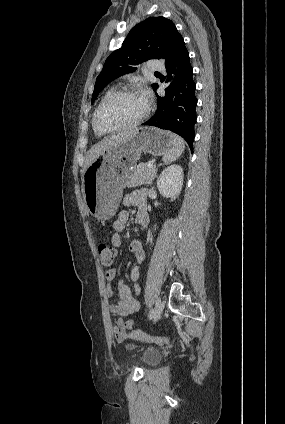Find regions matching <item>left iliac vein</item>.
Segmentation results:
<instances>
[{
	"mask_svg": "<svg viewBox=\"0 0 285 424\" xmlns=\"http://www.w3.org/2000/svg\"><path fill=\"white\" fill-rule=\"evenodd\" d=\"M163 309H164V303L160 298H158L156 301V306L154 311V321H157L161 317Z\"/></svg>",
	"mask_w": 285,
	"mask_h": 424,
	"instance_id": "left-iliac-vein-1",
	"label": "left iliac vein"
}]
</instances>
